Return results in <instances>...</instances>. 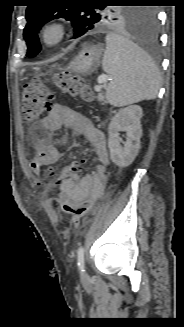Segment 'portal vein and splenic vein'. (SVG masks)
<instances>
[{
    "label": "portal vein and splenic vein",
    "instance_id": "1",
    "mask_svg": "<svg viewBox=\"0 0 184 327\" xmlns=\"http://www.w3.org/2000/svg\"><path fill=\"white\" fill-rule=\"evenodd\" d=\"M109 80L108 76L101 75L98 77V85L95 86V91L99 92L101 90V85L106 83Z\"/></svg>",
    "mask_w": 184,
    "mask_h": 327
}]
</instances>
